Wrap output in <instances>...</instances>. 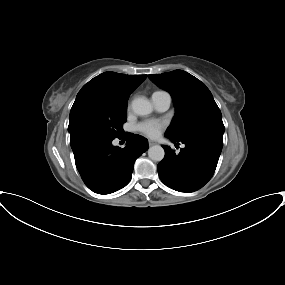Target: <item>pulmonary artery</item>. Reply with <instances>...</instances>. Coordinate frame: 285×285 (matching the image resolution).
<instances>
[{
    "mask_svg": "<svg viewBox=\"0 0 285 285\" xmlns=\"http://www.w3.org/2000/svg\"><path fill=\"white\" fill-rule=\"evenodd\" d=\"M151 100L156 110L160 112L166 111L171 105V96L167 92H155L153 93Z\"/></svg>",
    "mask_w": 285,
    "mask_h": 285,
    "instance_id": "e3ab8cb5",
    "label": "pulmonary artery"
}]
</instances>
